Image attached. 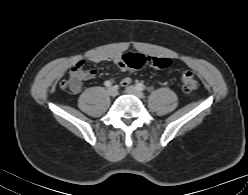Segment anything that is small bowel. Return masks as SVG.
<instances>
[{"mask_svg":"<svg viewBox=\"0 0 248 195\" xmlns=\"http://www.w3.org/2000/svg\"><path fill=\"white\" fill-rule=\"evenodd\" d=\"M120 56L121 55H94V56L89 57L88 61L91 63H95V64H101V63L106 62V61H111V62L115 63L116 65H118L119 68L122 70V72L126 73L128 71V69L122 65V63L120 61ZM78 64H82V63H78ZM82 68H83V64H82ZM96 74H97V72L95 69H85L83 71V79L84 80L93 79L96 76ZM130 83H131V77L127 74H124L121 77V84L123 86H127Z\"/></svg>","mask_w":248,"mask_h":195,"instance_id":"c3829d8e","label":"small bowel"}]
</instances>
